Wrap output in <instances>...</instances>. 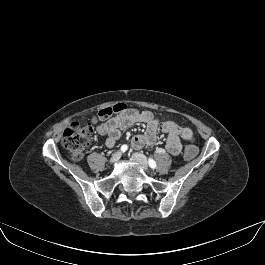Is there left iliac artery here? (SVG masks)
Returning <instances> with one entry per match:
<instances>
[{"label": "left iliac artery", "mask_w": 265, "mask_h": 265, "mask_svg": "<svg viewBox=\"0 0 265 265\" xmlns=\"http://www.w3.org/2000/svg\"><path fill=\"white\" fill-rule=\"evenodd\" d=\"M148 163H149V166L152 168V169H154V168H156V162L153 160V159H149L148 160Z\"/></svg>", "instance_id": "obj_1"}]
</instances>
